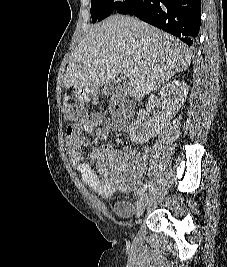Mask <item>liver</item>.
Here are the masks:
<instances>
[{"instance_id": "liver-1", "label": "liver", "mask_w": 227, "mask_h": 267, "mask_svg": "<svg viewBox=\"0 0 227 267\" xmlns=\"http://www.w3.org/2000/svg\"><path fill=\"white\" fill-rule=\"evenodd\" d=\"M190 63L189 48L179 39L133 17L112 15L72 52L63 83L66 89L106 86L130 68L134 75L126 90L143 97Z\"/></svg>"}]
</instances>
